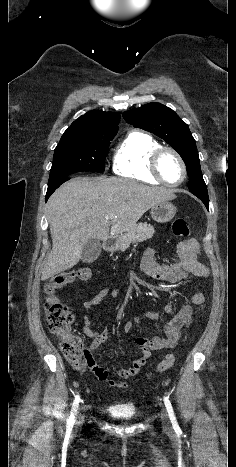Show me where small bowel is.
<instances>
[{
	"instance_id": "1",
	"label": "small bowel",
	"mask_w": 236,
	"mask_h": 467,
	"mask_svg": "<svg viewBox=\"0 0 236 467\" xmlns=\"http://www.w3.org/2000/svg\"><path fill=\"white\" fill-rule=\"evenodd\" d=\"M178 256L179 259L174 264H160L156 261L155 249L149 248L143 256L142 268L145 274L150 278L168 283L180 282L189 276L200 278H207L209 276L207 267L199 260L200 250L197 242L185 241L180 243L178 246ZM109 293V288L102 289L91 299L83 303L85 314L82 319V330L85 335L92 339L90 345L92 350L97 349L99 346L109 341L111 335L108 330L96 329L87 313L98 306ZM205 302V294L201 290H196L190 298V303L182 306L179 311H176V307L173 303H167L164 310L167 314L173 316L164 326L165 337L154 336L151 338H144L132 336L133 342L139 349V356L133 360L129 367L119 371L121 378L130 379L135 377L149 359L152 351L175 347L183 330L191 322L194 308L202 309L205 306ZM144 318L157 319L158 313L153 310H147L141 317L136 318L134 322H125L123 324L124 332L130 333L134 325L140 326ZM89 368L98 380L107 382L109 385L116 388L124 389L127 387L125 381L111 379L106 368L98 365L93 358L89 364Z\"/></svg>"
}]
</instances>
